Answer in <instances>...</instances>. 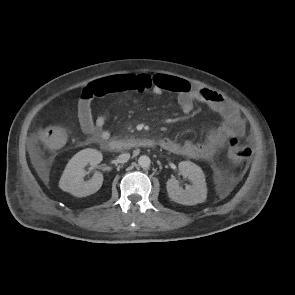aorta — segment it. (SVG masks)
I'll list each match as a JSON object with an SVG mask.
<instances>
[{
	"label": "aorta",
	"mask_w": 295,
	"mask_h": 295,
	"mask_svg": "<svg viewBox=\"0 0 295 295\" xmlns=\"http://www.w3.org/2000/svg\"><path fill=\"white\" fill-rule=\"evenodd\" d=\"M138 164L142 168H148L151 164V160L148 156L142 155L138 159Z\"/></svg>",
	"instance_id": "obj_1"
}]
</instances>
